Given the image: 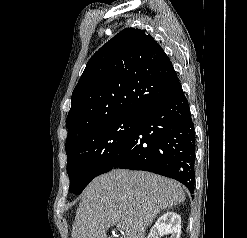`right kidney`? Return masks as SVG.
Masks as SVG:
<instances>
[{"label":"right kidney","instance_id":"1","mask_svg":"<svg viewBox=\"0 0 247 238\" xmlns=\"http://www.w3.org/2000/svg\"><path fill=\"white\" fill-rule=\"evenodd\" d=\"M170 234V238H180L181 217L180 215L167 211L159 217L151 228L147 238H159L160 235Z\"/></svg>","mask_w":247,"mask_h":238}]
</instances>
